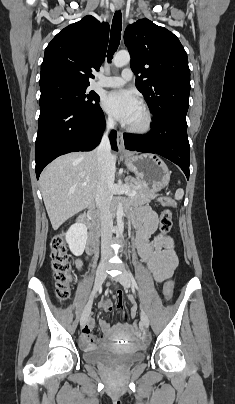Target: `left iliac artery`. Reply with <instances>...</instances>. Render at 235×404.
Instances as JSON below:
<instances>
[{
    "mask_svg": "<svg viewBox=\"0 0 235 404\" xmlns=\"http://www.w3.org/2000/svg\"><path fill=\"white\" fill-rule=\"evenodd\" d=\"M128 275H129V277H130V279H131V282H132L133 287H135V288L139 291V287H138V285H137V282H136V280H135L133 274L130 272V270H128Z\"/></svg>",
    "mask_w": 235,
    "mask_h": 404,
    "instance_id": "1",
    "label": "left iliac artery"
}]
</instances>
